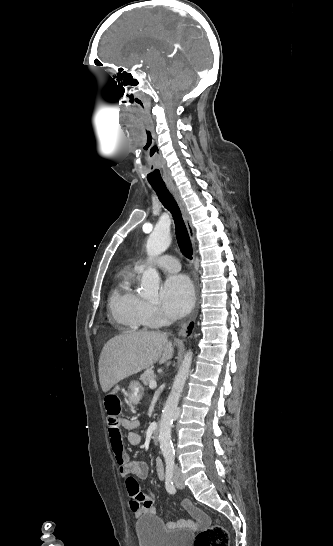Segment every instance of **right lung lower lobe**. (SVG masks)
<instances>
[{
    "label": "right lung lower lobe",
    "mask_w": 333,
    "mask_h": 546,
    "mask_svg": "<svg viewBox=\"0 0 333 546\" xmlns=\"http://www.w3.org/2000/svg\"><path fill=\"white\" fill-rule=\"evenodd\" d=\"M192 328H193V323H191L190 326H189V330H188L189 333H191Z\"/></svg>",
    "instance_id": "right-lung-lower-lobe-1"
}]
</instances>
